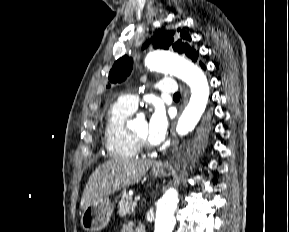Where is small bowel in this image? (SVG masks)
<instances>
[{"label":"small bowel","instance_id":"small-bowel-1","mask_svg":"<svg viewBox=\"0 0 289 232\" xmlns=\"http://www.w3.org/2000/svg\"><path fill=\"white\" fill-rule=\"evenodd\" d=\"M137 228H133L132 226L130 225H122L121 229H120V232H136Z\"/></svg>","mask_w":289,"mask_h":232}]
</instances>
